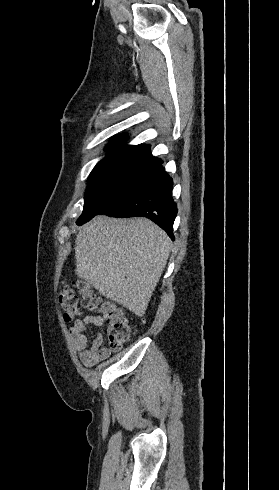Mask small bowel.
I'll return each mask as SVG.
<instances>
[{"label":"small bowel","mask_w":279,"mask_h":490,"mask_svg":"<svg viewBox=\"0 0 279 490\" xmlns=\"http://www.w3.org/2000/svg\"><path fill=\"white\" fill-rule=\"evenodd\" d=\"M105 318L98 315H85L74 322L70 329V341L72 346L77 350L78 356L82 363L88 367L94 366L111 356V350L103 347L104 334L99 332L89 344L86 336L87 326H103Z\"/></svg>","instance_id":"small-bowel-1"}]
</instances>
